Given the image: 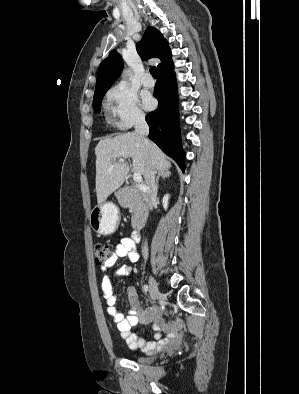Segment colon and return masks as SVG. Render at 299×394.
Here are the masks:
<instances>
[{
    "label": "colon",
    "instance_id": "5ec220e1",
    "mask_svg": "<svg viewBox=\"0 0 299 394\" xmlns=\"http://www.w3.org/2000/svg\"><path fill=\"white\" fill-rule=\"evenodd\" d=\"M95 261L98 264H105L112 256L111 247L107 243L97 242L94 245Z\"/></svg>",
    "mask_w": 299,
    "mask_h": 394
}]
</instances>
